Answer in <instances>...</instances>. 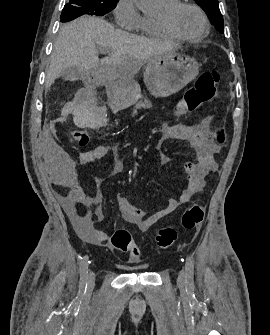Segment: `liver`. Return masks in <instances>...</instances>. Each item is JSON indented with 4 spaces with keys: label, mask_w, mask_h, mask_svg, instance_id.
Segmentation results:
<instances>
[{
    "label": "liver",
    "mask_w": 270,
    "mask_h": 335,
    "mask_svg": "<svg viewBox=\"0 0 270 335\" xmlns=\"http://www.w3.org/2000/svg\"><path fill=\"white\" fill-rule=\"evenodd\" d=\"M175 48L178 44H160L144 36L116 30L103 18L82 16L61 28L50 56L45 86L50 88L54 80L64 76L66 68L71 66L81 72H103V76L110 72L114 80L122 78L131 84L145 60L171 54ZM98 52H112L105 58L112 64L100 62Z\"/></svg>",
    "instance_id": "liver-1"
}]
</instances>
